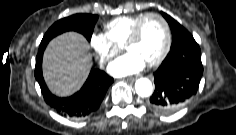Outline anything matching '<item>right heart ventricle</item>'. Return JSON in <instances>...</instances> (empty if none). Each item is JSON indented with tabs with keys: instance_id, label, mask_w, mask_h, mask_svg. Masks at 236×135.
Wrapping results in <instances>:
<instances>
[{
	"instance_id": "obj_1",
	"label": "right heart ventricle",
	"mask_w": 236,
	"mask_h": 135,
	"mask_svg": "<svg viewBox=\"0 0 236 135\" xmlns=\"http://www.w3.org/2000/svg\"><path fill=\"white\" fill-rule=\"evenodd\" d=\"M144 14L120 16L105 24V35L117 47H122L133 26Z\"/></svg>"
}]
</instances>
